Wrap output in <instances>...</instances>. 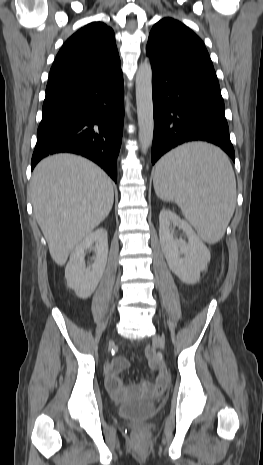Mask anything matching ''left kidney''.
<instances>
[{
    "label": "left kidney",
    "instance_id": "1",
    "mask_svg": "<svg viewBox=\"0 0 263 465\" xmlns=\"http://www.w3.org/2000/svg\"><path fill=\"white\" fill-rule=\"evenodd\" d=\"M173 226L183 231L188 241L174 235ZM160 243L170 270L186 284H195L207 268L210 252L191 225L177 214L163 209L159 214Z\"/></svg>",
    "mask_w": 263,
    "mask_h": 465
}]
</instances>
